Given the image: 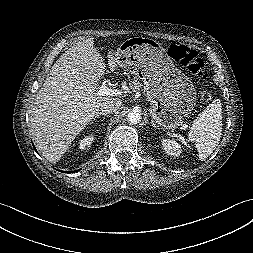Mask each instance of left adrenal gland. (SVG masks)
<instances>
[{"mask_svg": "<svg viewBox=\"0 0 253 253\" xmlns=\"http://www.w3.org/2000/svg\"><path fill=\"white\" fill-rule=\"evenodd\" d=\"M152 126L156 129H158V126L154 123L153 119L151 120Z\"/></svg>", "mask_w": 253, "mask_h": 253, "instance_id": "1", "label": "left adrenal gland"}]
</instances>
